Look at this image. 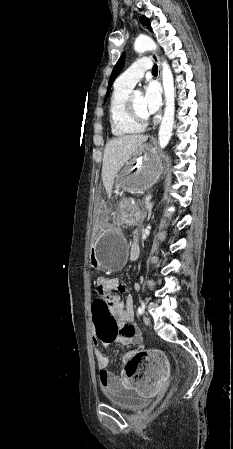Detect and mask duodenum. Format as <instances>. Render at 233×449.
I'll use <instances>...</instances> for the list:
<instances>
[{
	"label": "duodenum",
	"instance_id": "1",
	"mask_svg": "<svg viewBox=\"0 0 233 449\" xmlns=\"http://www.w3.org/2000/svg\"><path fill=\"white\" fill-rule=\"evenodd\" d=\"M135 250H136V248H135V247H133V248H132V253H135Z\"/></svg>",
	"mask_w": 233,
	"mask_h": 449
}]
</instances>
